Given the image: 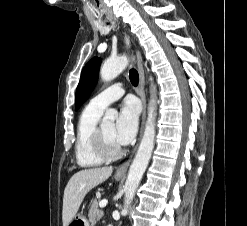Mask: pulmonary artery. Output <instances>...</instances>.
Returning <instances> with one entry per match:
<instances>
[{"mask_svg":"<svg viewBox=\"0 0 247 226\" xmlns=\"http://www.w3.org/2000/svg\"><path fill=\"white\" fill-rule=\"evenodd\" d=\"M124 93L125 89L123 85L121 83H115L93 97L89 105L95 109L104 111L111 103L121 98Z\"/></svg>","mask_w":247,"mask_h":226,"instance_id":"e3ab8cb5","label":"pulmonary artery"}]
</instances>
